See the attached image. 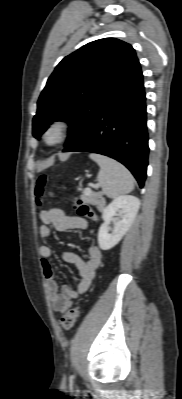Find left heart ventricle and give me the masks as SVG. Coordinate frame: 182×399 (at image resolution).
<instances>
[{
  "label": "left heart ventricle",
  "instance_id": "b2bd125f",
  "mask_svg": "<svg viewBox=\"0 0 182 399\" xmlns=\"http://www.w3.org/2000/svg\"><path fill=\"white\" fill-rule=\"evenodd\" d=\"M57 137H58L57 132H56V131H52V132H50V134L48 135V140H49L50 142H52V141H55V140L57 139Z\"/></svg>",
  "mask_w": 182,
  "mask_h": 399
}]
</instances>
